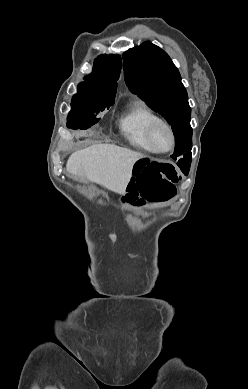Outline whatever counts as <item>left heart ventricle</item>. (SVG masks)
Listing matches in <instances>:
<instances>
[{
	"label": "left heart ventricle",
	"instance_id": "left-heart-ventricle-1",
	"mask_svg": "<svg viewBox=\"0 0 248 389\" xmlns=\"http://www.w3.org/2000/svg\"><path fill=\"white\" fill-rule=\"evenodd\" d=\"M153 145L157 149H165L168 146V137L163 127H157L153 134Z\"/></svg>",
	"mask_w": 248,
	"mask_h": 389
}]
</instances>
